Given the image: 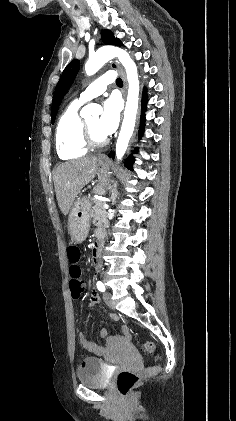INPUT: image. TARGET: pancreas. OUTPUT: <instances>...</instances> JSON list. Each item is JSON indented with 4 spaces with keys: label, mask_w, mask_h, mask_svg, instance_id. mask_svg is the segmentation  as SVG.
I'll return each mask as SVG.
<instances>
[{
    "label": "pancreas",
    "mask_w": 236,
    "mask_h": 421,
    "mask_svg": "<svg viewBox=\"0 0 236 421\" xmlns=\"http://www.w3.org/2000/svg\"><path fill=\"white\" fill-rule=\"evenodd\" d=\"M95 202L92 206L93 211V221L96 227H109L108 213H106V208L104 206V200H98V198H91Z\"/></svg>",
    "instance_id": "obj_1"
}]
</instances>
